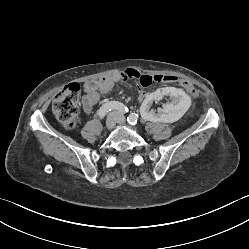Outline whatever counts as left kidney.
I'll list each match as a JSON object with an SVG mask.
<instances>
[{"mask_svg": "<svg viewBox=\"0 0 249 249\" xmlns=\"http://www.w3.org/2000/svg\"><path fill=\"white\" fill-rule=\"evenodd\" d=\"M138 114L146 122L174 123L182 119V116L191 108V99L180 87H164L152 91L150 94L139 95ZM168 100V101H167ZM167 101L164 107H156L151 111V105L157 102Z\"/></svg>", "mask_w": 249, "mask_h": 249, "instance_id": "5707ae66", "label": "left kidney"}]
</instances>
